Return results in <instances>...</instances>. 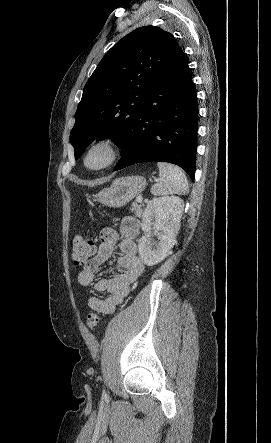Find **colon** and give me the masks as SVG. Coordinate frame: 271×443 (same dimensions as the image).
Returning <instances> with one entry per match:
<instances>
[{
    "label": "colon",
    "mask_w": 271,
    "mask_h": 443,
    "mask_svg": "<svg viewBox=\"0 0 271 443\" xmlns=\"http://www.w3.org/2000/svg\"><path fill=\"white\" fill-rule=\"evenodd\" d=\"M95 242L83 234H75L71 238V261L75 266L86 264L94 254ZM87 323L90 329L95 330L99 323V317L95 312L87 315Z\"/></svg>",
    "instance_id": "obj_1"
}]
</instances>
